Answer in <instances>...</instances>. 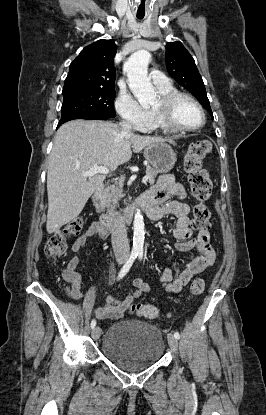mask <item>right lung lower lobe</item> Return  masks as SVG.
<instances>
[{
    "mask_svg": "<svg viewBox=\"0 0 266 415\" xmlns=\"http://www.w3.org/2000/svg\"><path fill=\"white\" fill-rule=\"evenodd\" d=\"M73 119H86V120H107L109 118L107 117H102V116H81V115H64L61 116V119L58 123V126H61L63 123L73 120Z\"/></svg>",
    "mask_w": 266,
    "mask_h": 415,
    "instance_id": "1",
    "label": "right lung lower lobe"
}]
</instances>
